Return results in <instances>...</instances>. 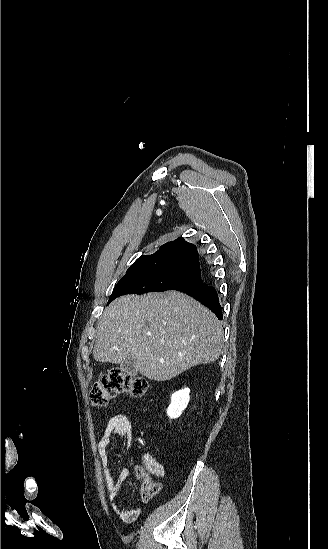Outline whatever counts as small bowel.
<instances>
[{
    "label": "small bowel",
    "mask_w": 328,
    "mask_h": 549,
    "mask_svg": "<svg viewBox=\"0 0 328 549\" xmlns=\"http://www.w3.org/2000/svg\"><path fill=\"white\" fill-rule=\"evenodd\" d=\"M115 436L126 438L128 448L132 449L134 442L133 425L128 415L120 413L112 416L108 421V424L106 425V428L97 445L110 503L113 508L120 513L122 517H125L130 513L137 514L138 512L123 510L118 500L119 491L124 482L129 477V470L122 469L116 479L113 477L110 466L108 446L112 438ZM141 460L148 473L155 475L159 478L165 477V469L163 465L159 463L154 457L149 454H143L141 456ZM161 490L162 484L160 482L150 483V489L148 495L145 498L151 499L158 495Z\"/></svg>",
    "instance_id": "1"
}]
</instances>
